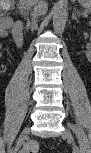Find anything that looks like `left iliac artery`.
I'll return each instance as SVG.
<instances>
[{"mask_svg": "<svg viewBox=\"0 0 91 153\" xmlns=\"http://www.w3.org/2000/svg\"><path fill=\"white\" fill-rule=\"evenodd\" d=\"M70 143H72L73 149H78V143H75V140H73V136H70Z\"/></svg>", "mask_w": 91, "mask_h": 153, "instance_id": "left-iliac-artery-1", "label": "left iliac artery"}]
</instances>
